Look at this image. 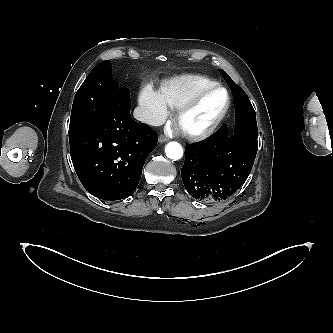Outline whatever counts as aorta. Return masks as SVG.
I'll return each instance as SVG.
<instances>
[{
    "mask_svg": "<svg viewBox=\"0 0 333 333\" xmlns=\"http://www.w3.org/2000/svg\"><path fill=\"white\" fill-rule=\"evenodd\" d=\"M166 156L172 160H179L183 156L182 146L178 142H169L165 147Z\"/></svg>",
    "mask_w": 333,
    "mask_h": 333,
    "instance_id": "aorta-1",
    "label": "aorta"
}]
</instances>
